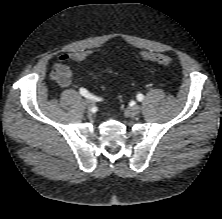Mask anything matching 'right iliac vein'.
<instances>
[{
  "mask_svg": "<svg viewBox=\"0 0 222 219\" xmlns=\"http://www.w3.org/2000/svg\"><path fill=\"white\" fill-rule=\"evenodd\" d=\"M85 105L88 107V108H92L93 105H94V102L90 99H86L85 100Z\"/></svg>",
  "mask_w": 222,
  "mask_h": 219,
  "instance_id": "63e3f726",
  "label": "right iliac vein"
}]
</instances>
